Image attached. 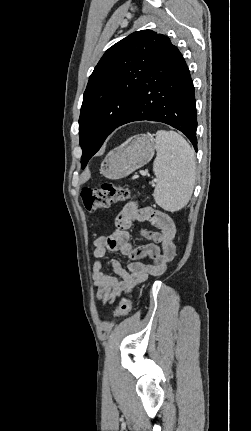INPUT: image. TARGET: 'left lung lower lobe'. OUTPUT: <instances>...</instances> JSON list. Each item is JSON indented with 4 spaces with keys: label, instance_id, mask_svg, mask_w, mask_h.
Segmentation results:
<instances>
[{
    "label": "left lung lower lobe",
    "instance_id": "0a47b994",
    "mask_svg": "<svg viewBox=\"0 0 251 431\" xmlns=\"http://www.w3.org/2000/svg\"><path fill=\"white\" fill-rule=\"evenodd\" d=\"M140 120L162 122L178 129L197 151L194 86L182 54L169 38L118 127ZM100 130V126L95 128Z\"/></svg>",
    "mask_w": 251,
    "mask_h": 431
}]
</instances>
